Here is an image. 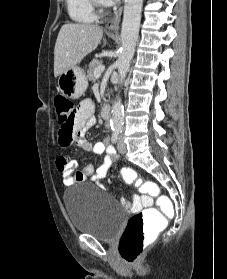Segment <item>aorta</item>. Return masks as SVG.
Masks as SVG:
<instances>
[{"instance_id":"obj_1","label":"aorta","mask_w":227,"mask_h":279,"mask_svg":"<svg viewBox=\"0 0 227 279\" xmlns=\"http://www.w3.org/2000/svg\"><path fill=\"white\" fill-rule=\"evenodd\" d=\"M143 0H125L121 27V51L117 60L120 83L126 78L138 40ZM124 108L118 97L113 103L110 124L114 130L123 126Z\"/></svg>"}]
</instances>
